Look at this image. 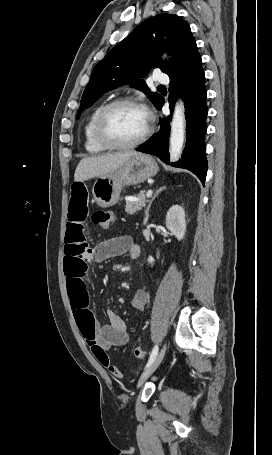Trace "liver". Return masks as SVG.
I'll return each instance as SVG.
<instances>
[{"label": "liver", "mask_w": 272, "mask_h": 455, "mask_svg": "<svg viewBox=\"0 0 272 455\" xmlns=\"http://www.w3.org/2000/svg\"><path fill=\"white\" fill-rule=\"evenodd\" d=\"M135 151L87 157L82 159L74 174L75 182H83L94 177H100L122 166Z\"/></svg>", "instance_id": "6515ba94"}]
</instances>
